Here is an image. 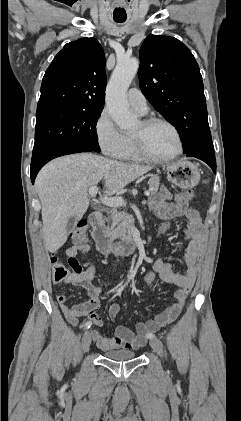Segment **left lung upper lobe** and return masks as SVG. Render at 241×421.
Wrapping results in <instances>:
<instances>
[{
    "label": "left lung upper lobe",
    "mask_w": 241,
    "mask_h": 421,
    "mask_svg": "<svg viewBox=\"0 0 241 421\" xmlns=\"http://www.w3.org/2000/svg\"><path fill=\"white\" fill-rule=\"evenodd\" d=\"M140 88L176 127L187 156L214 151L199 66L178 39L149 35L140 48Z\"/></svg>",
    "instance_id": "obj_1"
}]
</instances>
